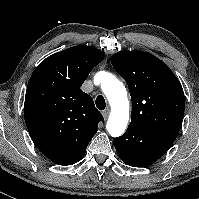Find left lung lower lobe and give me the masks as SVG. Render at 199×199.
I'll use <instances>...</instances> for the list:
<instances>
[{
  "mask_svg": "<svg viewBox=\"0 0 199 199\" xmlns=\"http://www.w3.org/2000/svg\"><path fill=\"white\" fill-rule=\"evenodd\" d=\"M121 160L133 167H144L161 158L172 146L173 141L129 124L127 131L113 139Z\"/></svg>",
  "mask_w": 199,
  "mask_h": 199,
  "instance_id": "0a47b994",
  "label": "left lung lower lobe"
}]
</instances>
